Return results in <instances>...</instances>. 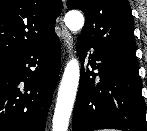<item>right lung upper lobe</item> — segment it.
Returning a JSON list of instances; mask_svg holds the SVG:
<instances>
[{
    "label": "right lung upper lobe",
    "instance_id": "right-lung-upper-lobe-1",
    "mask_svg": "<svg viewBox=\"0 0 147 131\" xmlns=\"http://www.w3.org/2000/svg\"><path fill=\"white\" fill-rule=\"evenodd\" d=\"M61 0H0V60L56 36Z\"/></svg>",
    "mask_w": 147,
    "mask_h": 131
}]
</instances>
